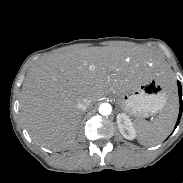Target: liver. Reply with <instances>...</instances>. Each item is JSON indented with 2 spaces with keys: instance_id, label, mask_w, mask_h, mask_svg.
<instances>
[{
  "instance_id": "obj_1",
  "label": "liver",
  "mask_w": 183,
  "mask_h": 183,
  "mask_svg": "<svg viewBox=\"0 0 183 183\" xmlns=\"http://www.w3.org/2000/svg\"><path fill=\"white\" fill-rule=\"evenodd\" d=\"M154 64L148 53L135 48L87 47L50 54L35 61L21 91V114L30 136L39 145L59 150L76 138L82 111L110 94H122L134 80L137 67Z\"/></svg>"
}]
</instances>
